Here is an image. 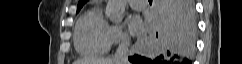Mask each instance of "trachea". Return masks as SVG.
I'll use <instances>...</instances> for the list:
<instances>
[{
	"label": "trachea",
	"instance_id": "1",
	"mask_svg": "<svg viewBox=\"0 0 242 64\" xmlns=\"http://www.w3.org/2000/svg\"><path fill=\"white\" fill-rule=\"evenodd\" d=\"M150 3H152V0H148Z\"/></svg>",
	"mask_w": 242,
	"mask_h": 64
}]
</instances>
